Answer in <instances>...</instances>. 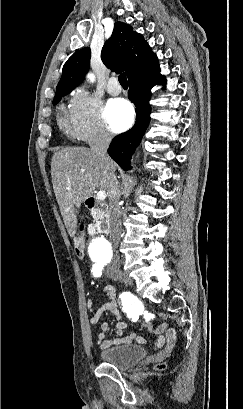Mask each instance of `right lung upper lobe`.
Segmentation results:
<instances>
[{
    "label": "right lung upper lobe",
    "instance_id": "obj_1",
    "mask_svg": "<svg viewBox=\"0 0 243 409\" xmlns=\"http://www.w3.org/2000/svg\"><path fill=\"white\" fill-rule=\"evenodd\" d=\"M91 51L83 48L75 52L64 64L56 94H68L83 79L90 66ZM101 59L106 67L115 72L126 71L128 81L156 69L157 56L143 37L122 22H116L111 38L105 43Z\"/></svg>",
    "mask_w": 243,
    "mask_h": 409
}]
</instances>
